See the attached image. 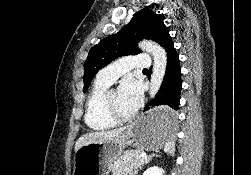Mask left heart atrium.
<instances>
[{"instance_id":"obj_1","label":"left heart atrium","mask_w":251,"mask_h":175,"mask_svg":"<svg viewBox=\"0 0 251 175\" xmlns=\"http://www.w3.org/2000/svg\"><path fill=\"white\" fill-rule=\"evenodd\" d=\"M120 104L128 113H135L142 101L143 91L139 81L125 78L118 89Z\"/></svg>"}]
</instances>
